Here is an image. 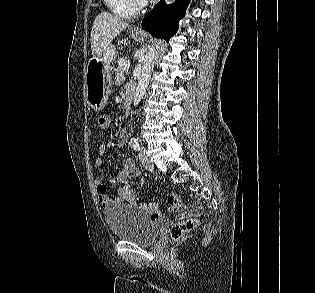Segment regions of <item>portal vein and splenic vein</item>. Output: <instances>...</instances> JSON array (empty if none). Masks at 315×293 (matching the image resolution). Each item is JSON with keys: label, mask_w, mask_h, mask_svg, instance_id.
Listing matches in <instances>:
<instances>
[{"label": "portal vein and splenic vein", "mask_w": 315, "mask_h": 293, "mask_svg": "<svg viewBox=\"0 0 315 293\" xmlns=\"http://www.w3.org/2000/svg\"><path fill=\"white\" fill-rule=\"evenodd\" d=\"M130 67V61L129 60H126L124 63H123V70H128Z\"/></svg>", "instance_id": "obj_1"}]
</instances>
